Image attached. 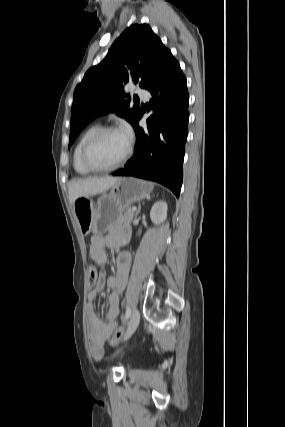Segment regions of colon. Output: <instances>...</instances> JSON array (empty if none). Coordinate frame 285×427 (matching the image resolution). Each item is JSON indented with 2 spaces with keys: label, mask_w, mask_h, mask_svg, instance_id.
<instances>
[{
  "label": "colon",
  "mask_w": 285,
  "mask_h": 427,
  "mask_svg": "<svg viewBox=\"0 0 285 427\" xmlns=\"http://www.w3.org/2000/svg\"><path fill=\"white\" fill-rule=\"evenodd\" d=\"M97 280V272L96 269L92 266L88 268V285L90 287H94ZM123 337V332L121 329L115 331L113 336V345H117Z\"/></svg>",
  "instance_id": "5ec220e1"
}]
</instances>
